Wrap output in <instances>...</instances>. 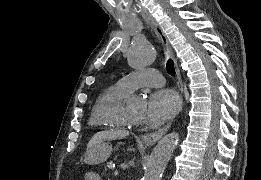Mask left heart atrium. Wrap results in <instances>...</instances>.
<instances>
[{
	"label": "left heart atrium",
	"mask_w": 261,
	"mask_h": 180,
	"mask_svg": "<svg viewBox=\"0 0 261 180\" xmlns=\"http://www.w3.org/2000/svg\"><path fill=\"white\" fill-rule=\"evenodd\" d=\"M179 95L167 88L153 91L146 102L142 116L145 121H160L173 116L180 108Z\"/></svg>",
	"instance_id": "1"
}]
</instances>
